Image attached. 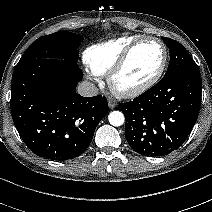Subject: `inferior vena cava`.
Returning <instances> with one entry per match:
<instances>
[{
  "instance_id": "602c4592",
  "label": "inferior vena cava",
  "mask_w": 212,
  "mask_h": 212,
  "mask_svg": "<svg viewBox=\"0 0 212 212\" xmlns=\"http://www.w3.org/2000/svg\"><path fill=\"white\" fill-rule=\"evenodd\" d=\"M77 92L81 96L92 97L98 94V88L89 81H83L78 85Z\"/></svg>"
}]
</instances>
